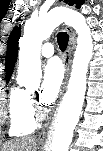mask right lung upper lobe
Here are the masks:
<instances>
[{
	"mask_svg": "<svg viewBox=\"0 0 103 151\" xmlns=\"http://www.w3.org/2000/svg\"><path fill=\"white\" fill-rule=\"evenodd\" d=\"M20 36H21V27L15 26L8 38L7 53H6V58H5L6 78H9V79L14 70V64L17 61L18 40Z\"/></svg>",
	"mask_w": 103,
	"mask_h": 151,
	"instance_id": "right-lung-upper-lobe-1",
	"label": "right lung upper lobe"
}]
</instances>
